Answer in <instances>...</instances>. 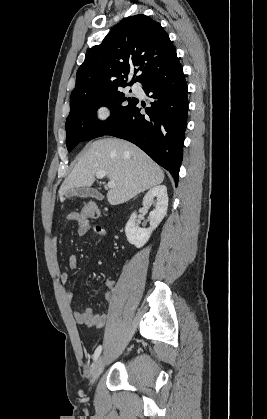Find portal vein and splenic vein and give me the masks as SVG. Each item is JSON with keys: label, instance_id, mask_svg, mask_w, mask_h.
<instances>
[{"label": "portal vein and splenic vein", "instance_id": "18ae733b", "mask_svg": "<svg viewBox=\"0 0 267 419\" xmlns=\"http://www.w3.org/2000/svg\"><path fill=\"white\" fill-rule=\"evenodd\" d=\"M106 173L104 171H99L96 173V177L101 179L103 177H105ZM108 187L109 188H114L115 187V182L114 181H110L108 182Z\"/></svg>", "mask_w": 267, "mask_h": 419}]
</instances>
